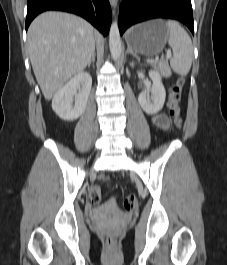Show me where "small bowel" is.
<instances>
[{
    "label": "small bowel",
    "instance_id": "small-bowel-1",
    "mask_svg": "<svg viewBox=\"0 0 227 265\" xmlns=\"http://www.w3.org/2000/svg\"><path fill=\"white\" fill-rule=\"evenodd\" d=\"M152 123L159 129L165 131L169 127V120L165 114L159 113L152 117Z\"/></svg>",
    "mask_w": 227,
    "mask_h": 265
}]
</instances>
